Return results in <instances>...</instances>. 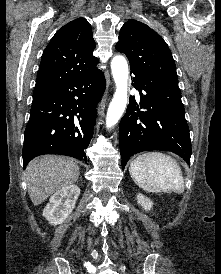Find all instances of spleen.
I'll return each instance as SVG.
<instances>
[{
  "mask_svg": "<svg viewBox=\"0 0 221 274\" xmlns=\"http://www.w3.org/2000/svg\"><path fill=\"white\" fill-rule=\"evenodd\" d=\"M129 172L136 185L147 192H184L180 166L163 153L147 152L139 155L131 162Z\"/></svg>",
  "mask_w": 221,
  "mask_h": 274,
  "instance_id": "3e777b00",
  "label": "spleen"
}]
</instances>
